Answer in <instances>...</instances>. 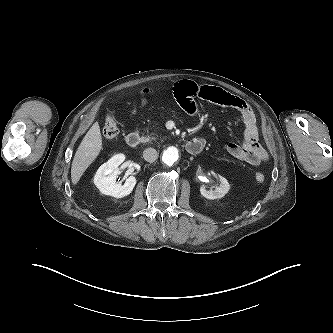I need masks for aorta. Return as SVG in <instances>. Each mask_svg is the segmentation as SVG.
Instances as JSON below:
<instances>
[{
    "label": "aorta",
    "mask_w": 333,
    "mask_h": 333,
    "mask_svg": "<svg viewBox=\"0 0 333 333\" xmlns=\"http://www.w3.org/2000/svg\"><path fill=\"white\" fill-rule=\"evenodd\" d=\"M179 159V150L176 147H168L162 154V161L168 166H172Z\"/></svg>",
    "instance_id": "obj_1"
}]
</instances>
